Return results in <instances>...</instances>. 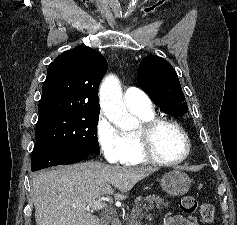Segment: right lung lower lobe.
Masks as SVG:
<instances>
[{
	"instance_id": "right-lung-lower-lobe-1",
	"label": "right lung lower lobe",
	"mask_w": 237,
	"mask_h": 225,
	"mask_svg": "<svg viewBox=\"0 0 237 225\" xmlns=\"http://www.w3.org/2000/svg\"><path fill=\"white\" fill-rule=\"evenodd\" d=\"M88 156L89 153L64 145L36 143L31 157V170L37 171L50 166L73 164Z\"/></svg>"
}]
</instances>
